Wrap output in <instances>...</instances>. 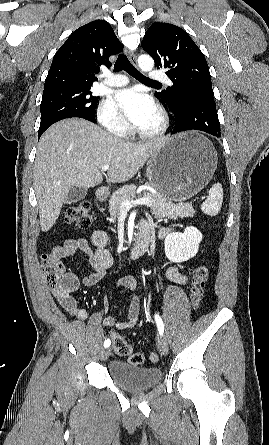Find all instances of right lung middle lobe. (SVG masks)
Segmentation results:
<instances>
[{
  "label": "right lung middle lobe",
  "instance_id": "right-lung-middle-lobe-1",
  "mask_svg": "<svg viewBox=\"0 0 269 445\" xmlns=\"http://www.w3.org/2000/svg\"><path fill=\"white\" fill-rule=\"evenodd\" d=\"M91 87H66L43 91L41 102L40 137L53 123L71 117L96 122L94 110L99 97L93 96Z\"/></svg>",
  "mask_w": 269,
  "mask_h": 445
}]
</instances>
